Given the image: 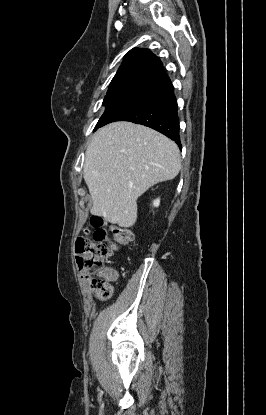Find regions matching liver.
<instances>
[{
	"label": "liver",
	"instance_id": "liver-1",
	"mask_svg": "<svg viewBox=\"0 0 266 415\" xmlns=\"http://www.w3.org/2000/svg\"><path fill=\"white\" fill-rule=\"evenodd\" d=\"M180 169L178 146L157 131L122 121L100 128L87 147L83 171L91 214L120 227L133 226L137 198L174 179Z\"/></svg>",
	"mask_w": 266,
	"mask_h": 415
}]
</instances>
